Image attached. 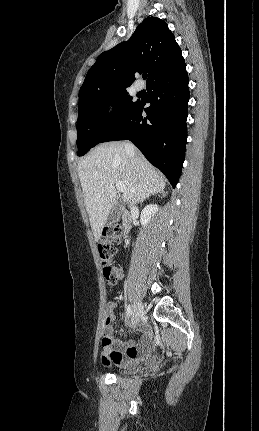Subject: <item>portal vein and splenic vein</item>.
Wrapping results in <instances>:
<instances>
[{
	"mask_svg": "<svg viewBox=\"0 0 259 431\" xmlns=\"http://www.w3.org/2000/svg\"><path fill=\"white\" fill-rule=\"evenodd\" d=\"M116 187H117V190L120 192H124L126 190L125 185L120 181L116 182Z\"/></svg>",
	"mask_w": 259,
	"mask_h": 431,
	"instance_id": "18ae733b",
	"label": "portal vein and splenic vein"
}]
</instances>
